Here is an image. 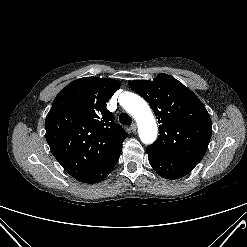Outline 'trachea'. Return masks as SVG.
Instances as JSON below:
<instances>
[{"label":"trachea","mask_w":247,"mask_h":247,"mask_svg":"<svg viewBox=\"0 0 247 247\" xmlns=\"http://www.w3.org/2000/svg\"><path fill=\"white\" fill-rule=\"evenodd\" d=\"M119 121L123 125H130L132 123V119L127 113H121L119 116Z\"/></svg>","instance_id":"3493384b"}]
</instances>
